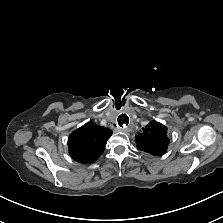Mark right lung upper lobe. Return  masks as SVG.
Segmentation results:
<instances>
[{"mask_svg": "<svg viewBox=\"0 0 223 223\" xmlns=\"http://www.w3.org/2000/svg\"><path fill=\"white\" fill-rule=\"evenodd\" d=\"M112 130L88 122L68 138L69 153L71 157L83 164L97 160L105 149Z\"/></svg>", "mask_w": 223, "mask_h": 223, "instance_id": "cb5924a9", "label": "right lung upper lobe"}]
</instances>
